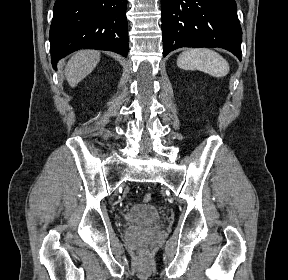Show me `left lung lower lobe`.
Instances as JSON below:
<instances>
[{
    "instance_id": "left-lung-lower-lobe-1",
    "label": "left lung lower lobe",
    "mask_w": 288,
    "mask_h": 280,
    "mask_svg": "<svg viewBox=\"0 0 288 280\" xmlns=\"http://www.w3.org/2000/svg\"><path fill=\"white\" fill-rule=\"evenodd\" d=\"M163 56L180 47H219L241 60L235 0H162Z\"/></svg>"
}]
</instances>
